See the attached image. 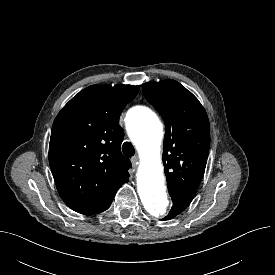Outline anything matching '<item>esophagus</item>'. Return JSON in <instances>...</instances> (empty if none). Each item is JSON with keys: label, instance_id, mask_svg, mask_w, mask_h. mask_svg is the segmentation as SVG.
<instances>
[{"label": "esophagus", "instance_id": "esophagus-1", "mask_svg": "<svg viewBox=\"0 0 275 275\" xmlns=\"http://www.w3.org/2000/svg\"><path fill=\"white\" fill-rule=\"evenodd\" d=\"M131 162H132V164H133L134 167H137V165H138V163H139V158H138V156H133V157L131 158Z\"/></svg>", "mask_w": 275, "mask_h": 275}]
</instances>
